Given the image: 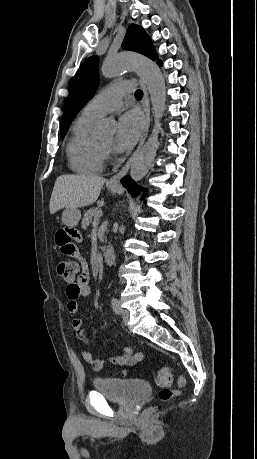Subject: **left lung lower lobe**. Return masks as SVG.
<instances>
[{
	"label": "left lung lower lobe",
	"mask_w": 257,
	"mask_h": 459,
	"mask_svg": "<svg viewBox=\"0 0 257 459\" xmlns=\"http://www.w3.org/2000/svg\"><path fill=\"white\" fill-rule=\"evenodd\" d=\"M157 63L159 65H162L161 61H158ZM121 183L132 194V196H135L137 192L139 191V188L129 176H125L121 180Z\"/></svg>",
	"instance_id": "1"
}]
</instances>
